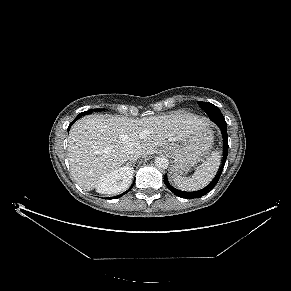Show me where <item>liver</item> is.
<instances>
[{
  "label": "liver",
  "instance_id": "1",
  "mask_svg": "<svg viewBox=\"0 0 291 291\" xmlns=\"http://www.w3.org/2000/svg\"><path fill=\"white\" fill-rule=\"evenodd\" d=\"M207 126V119L188 113L142 119L105 115L81 118L68 137L72 177L82 189L90 191L102 176L119 169L128 160L129 146L139 147L142 157H147L159 147L180 142ZM131 181L132 178L122 191Z\"/></svg>",
  "mask_w": 291,
  "mask_h": 291
}]
</instances>
